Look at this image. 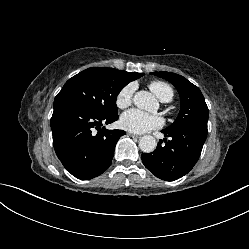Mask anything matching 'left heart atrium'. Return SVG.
<instances>
[{
  "mask_svg": "<svg viewBox=\"0 0 249 249\" xmlns=\"http://www.w3.org/2000/svg\"><path fill=\"white\" fill-rule=\"evenodd\" d=\"M121 127L134 133H144L162 126L163 120L158 115L146 113L139 109H131L122 114Z\"/></svg>",
  "mask_w": 249,
  "mask_h": 249,
  "instance_id": "left-heart-atrium-1",
  "label": "left heart atrium"
}]
</instances>
